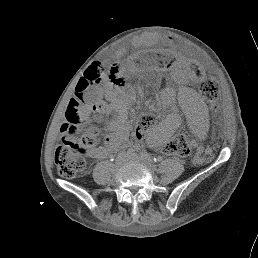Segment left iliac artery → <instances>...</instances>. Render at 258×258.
<instances>
[{"label": "left iliac artery", "instance_id": "1", "mask_svg": "<svg viewBox=\"0 0 258 258\" xmlns=\"http://www.w3.org/2000/svg\"><path fill=\"white\" fill-rule=\"evenodd\" d=\"M147 156V154H142V157H144L145 159L148 157H146ZM149 160V159H148ZM159 160H161V157H158V158H154V161L156 162V161H159Z\"/></svg>", "mask_w": 258, "mask_h": 258}]
</instances>
